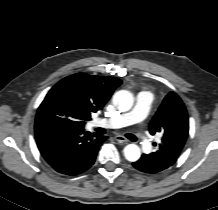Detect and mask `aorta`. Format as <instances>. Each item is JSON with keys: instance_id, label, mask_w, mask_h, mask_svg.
Segmentation results:
<instances>
[{"instance_id": "1", "label": "aorta", "mask_w": 218, "mask_h": 210, "mask_svg": "<svg viewBox=\"0 0 218 210\" xmlns=\"http://www.w3.org/2000/svg\"><path fill=\"white\" fill-rule=\"evenodd\" d=\"M133 102V95L126 90L118 91L113 96V104L122 112L130 110ZM124 156L128 161L135 162L140 158L141 150L136 144H128L124 148Z\"/></svg>"}]
</instances>
